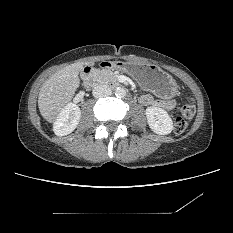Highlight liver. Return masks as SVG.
<instances>
[{
  "label": "liver",
  "instance_id": "obj_1",
  "mask_svg": "<svg viewBox=\"0 0 233 233\" xmlns=\"http://www.w3.org/2000/svg\"><path fill=\"white\" fill-rule=\"evenodd\" d=\"M84 63H74L62 68L47 79L38 96V107L42 117L54 122L64 107L71 101L80 86L79 72Z\"/></svg>",
  "mask_w": 233,
  "mask_h": 233
}]
</instances>
